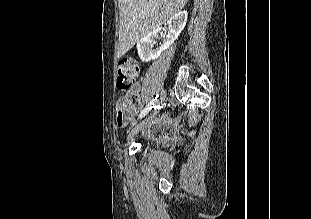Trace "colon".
I'll use <instances>...</instances> for the list:
<instances>
[{"label": "colon", "instance_id": "5ec220e1", "mask_svg": "<svg viewBox=\"0 0 311 219\" xmlns=\"http://www.w3.org/2000/svg\"><path fill=\"white\" fill-rule=\"evenodd\" d=\"M139 75V65L132 58H122L117 62V88L124 96L120 102L129 106L134 101L133 85ZM126 115V112H123ZM166 130V129H164Z\"/></svg>", "mask_w": 311, "mask_h": 219}]
</instances>
